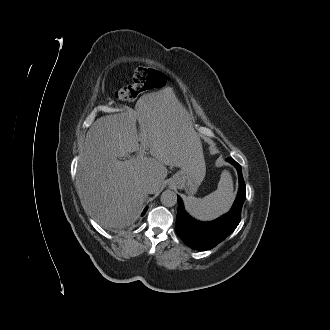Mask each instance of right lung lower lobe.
Masks as SVG:
<instances>
[{"label": "right lung lower lobe", "mask_w": 330, "mask_h": 330, "mask_svg": "<svg viewBox=\"0 0 330 330\" xmlns=\"http://www.w3.org/2000/svg\"><path fill=\"white\" fill-rule=\"evenodd\" d=\"M146 211H147V208L144 209L142 216L146 213Z\"/></svg>", "instance_id": "98d812e1"}]
</instances>
